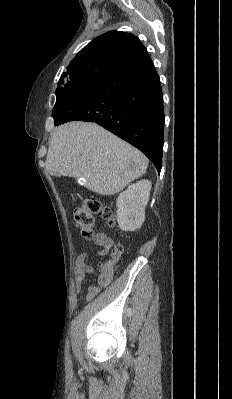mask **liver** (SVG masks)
<instances>
[{"mask_svg": "<svg viewBox=\"0 0 232 399\" xmlns=\"http://www.w3.org/2000/svg\"><path fill=\"white\" fill-rule=\"evenodd\" d=\"M148 158L97 124L69 122L51 136L46 168L51 176L84 178L102 196L118 194L146 174Z\"/></svg>", "mask_w": 232, "mask_h": 399, "instance_id": "liver-1", "label": "liver"}]
</instances>
